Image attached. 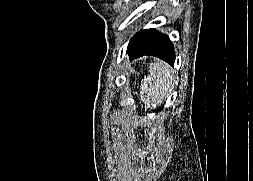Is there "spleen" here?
Wrapping results in <instances>:
<instances>
[{"mask_svg": "<svg viewBox=\"0 0 253 181\" xmlns=\"http://www.w3.org/2000/svg\"><path fill=\"white\" fill-rule=\"evenodd\" d=\"M171 80V72L166 63L156 60L150 64L149 75L143 80L140 89L141 101L146 108H156L164 100Z\"/></svg>", "mask_w": 253, "mask_h": 181, "instance_id": "obj_1", "label": "spleen"}]
</instances>
